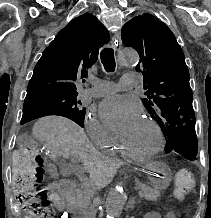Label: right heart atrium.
<instances>
[{"label":"right heart atrium","instance_id":"right-heart-atrium-1","mask_svg":"<svg viewBox=\"0 0 211 218\" xmlns=\"http://www.w3.org/2000/svg\"><path fill=\"white\" fill-rule=\"evenodd\" d=\"M85 126L90 138L97 147L103 148L114 141L111 133L103 127L94 114L88 113L86 115Z\"/></svg>","mask_w":211,"mask_h":218}]
</instances>
